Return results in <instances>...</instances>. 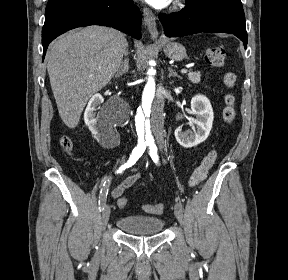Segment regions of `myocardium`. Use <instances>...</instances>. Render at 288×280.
<instances>
[{
    "instance_id": "f54148a6",
    "label": "myocardium",
    "mask_w": 288,
    "mask_h": 280,
    "mask_svg": "<svg viewBox=\"0 0 288 280\" xmlns=\"http://www.w3.org/2000/svg\"><path fill=\"white\" fill-rule=\"evenodd\" d=\"M183 0H175V6L179 7L182 5Z\"/></svg>"
}]
</instances>
